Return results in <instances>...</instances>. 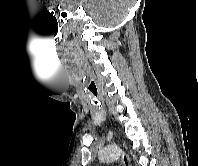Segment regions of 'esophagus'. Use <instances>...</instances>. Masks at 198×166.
I'll return each instance as SVG.
<instances>
[{"label":"esophagus","instance_id":"1","mask_svg":"<svg viewBox=\"0 0 198 166\" xmlns=\"http://www.w3.org/2000/svg\"><path fill=\"white\" fill-rule=\"evenodd\" d=\"M121 160H122L123 166H131L130 159L125 152H122Z\"/></svg>","mask_w":198,"mask_h":166}]
</instances>
